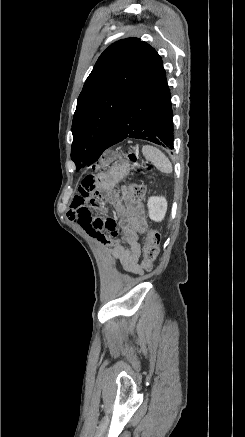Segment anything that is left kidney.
<instances>
[{"label":"left kidney","mask_w":245,"mask_h":437,"mask_svg":"<svg viewBox=\"0 0 245 437\" xmlns=\"http://www.w3.org/2000/svg\"><path fill=\"white\" fill-rule=\"evenodd\" d=\"M147 206L151 220L161 222L164 219L167 211V200L164 197H150Z\"/></svg>","instance_id":"obj_1"}]
</instances>
